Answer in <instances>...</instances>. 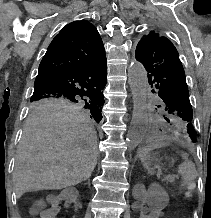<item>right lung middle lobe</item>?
Here are the masks:
<instances>
[{"instance_id": "1", "label": "right lung middle lobe", "mask_w": 211, "mask_h": 218, "mask_svg": "<svg viewBox=\"0 0 211 218\" xmlns=\"http://www.w3.org/2000/svg\"><path fill=\"white\" fill-rule=\"evenodd\" d=\"M31 102V106L33 109L79 106L84 109L90 110V117H93L96 122H99L102 119L101 111L105 100L104 97H39L32 98Z\"/></svg>"}]
</instances>
